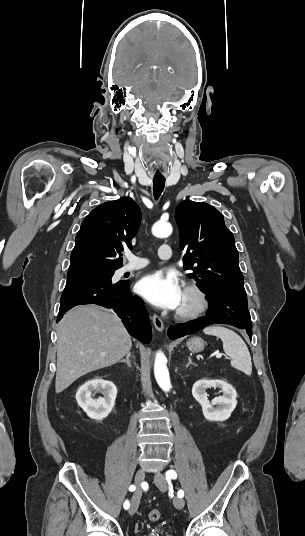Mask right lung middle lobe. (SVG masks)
Here are the masks:
<instances>
[{
  "instance_id": "obj_1",
  "label": "right lung middle lobe",
  "mask_w": 305,
  "mask_h": 536,
  "mask_svg": "<svg viewBox=\"0 0 305 536\" xmlns=\"http://www.w3.org/2000/svg\"><path fill=\"white\" fill-rule=\"evenodd\" d=\"M114 272L115 270H112V271H106V272H100V273H95V274L67 278L66 285L76 284V283H90V284L111 286L112 285L111 278Z\"/></svg>"
}]
</instances>
